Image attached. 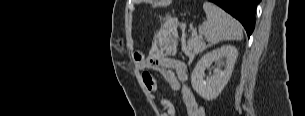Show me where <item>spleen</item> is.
I'll return each mask as SVG.
<instances>
[{
    "label": "spleen",
    "mask_w": 305,
    "mask_h": 116,
    "mask_svg": "<svg viewBox=\"0 0 305 116\" xmlns=\"http://www.w3.org/2000/svg\"><path fill=\"white\" fill-rule=\"evenodd\" d=\"M203 9L207 17L203 31L208 43L215 45L243 38L242 25L223 9L208 1L204 2Z\"/></svg>",
    "instance_id": "spleen-1"
}]
</instances>
